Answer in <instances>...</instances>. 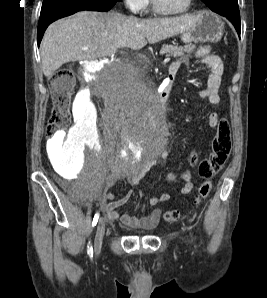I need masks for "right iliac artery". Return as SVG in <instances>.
<instances>
[{"instance_id": "obj_1", "label": "right iliac artery", "mask_w": 267, "mask_h": 298, "mask_svg": "<svg viewBox=\"0 0 267 298\" xmlns=\"http://www.w3.org/2000/svg\"><path fill=\"white\" fill-rule=\"evenodd\" d=\"M98 219H99V212L95 214L93 218L92 226H95L97 224ZM87 254L89 255V257H93V248L90 245V242L88 243V246H87Z\"/></svg>"}]
</instances>
